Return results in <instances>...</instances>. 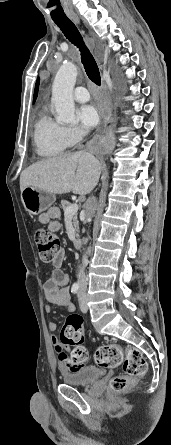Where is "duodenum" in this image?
Returning <instances> with one entry per match:
<instances>
[{
    "label": "duodenum",
    "instance_id": "410a0bca",
    "mask_svg": "<svg viewBox=\"0 0 171 445\" xmlns=\"http://www.w3.org/2000/svg\"><path fill=\"white\" fill-rule=\"evenodd\" d=\"M81 245H82V240H81L80 238H76V239L73 241V247H74L76 250L80 249V248H81Z\"/></svg>",
    "mask_w": 171,
    "mask_h": 445
}]
</instances>
